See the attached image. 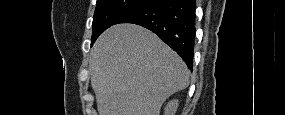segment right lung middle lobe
Here are the masks:
<instances>
[{
    "mask_svg": "<svg viewBox=\"0 0 285 115\" xmlns=\"http://www.w3.org/2000/svg\"><path fill=\"white\" fill-rule=\"evenodd\" d=\"M150 0H97L93 17L91 46L99 35L116 24L123 16L136 10Z\"/></svg>",
    "mask_w": 285,
    "mask_h": 115,
    "instance_id": "obj_1",
    "label": "right lung middle lobe"
}]
</instances>
